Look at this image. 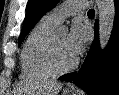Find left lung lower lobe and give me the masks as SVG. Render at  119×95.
I'll return each mask as SVG.
<instances>
[{
  "instance_id": "obj_1",
  "label": "left lung lower lobe",
  "mask_w": 119,
  "mask_h": 95,
  "mask_svg": "<svg viewBox=\"0 0 119 95\" xmlns=\"http://www.w3.org/2000/svg\"><path fill=\"white\" fill-rule=\"evenodd\" d=\"M116 18L111 38L101 51L98 39V21L95 38L79 72L61 76L60 80L73 81L89 95H119V0H114Z\"/></svg>"
}]
</instances>
